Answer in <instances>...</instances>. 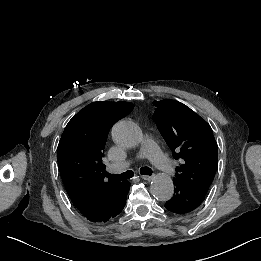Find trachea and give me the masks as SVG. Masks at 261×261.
<instances>
[{"label": "trachea", "instance_id": "trachea-1", "mask_svg": "<svg viewBox=\"0 0 261 261\" xmlns=\"http://www.w3.org/2000/svg\"><path fill=\"white\" fill-rule=\"evenodd\" d=\"M140 173L142 175H149V176H151L153 171L149 167H142L140 169ZM106 176L108 178L115 179L117 181H123V180H128V179L132 178L134 176V172L132 170H128L126 172H123V173L117 174V175L106 173Z\"/></svg>", "mask_w": 261, "mask_h": 261}]
</instances>
